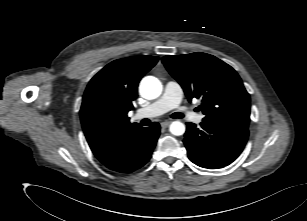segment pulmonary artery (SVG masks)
Instances as JSON below:
<instances>
[{
  "instance_id": "1",
  "label": "pulmonary artery",
  "mask_w": 307,
  "mask_h": 221,
  "mask_svg": "<svg viewBox=\"0 0 307 221\" xmlns=\"http://www.w3.org/2000/svg\"><path fill=\"white\" fill-rule=\"evenodd\" d=\"M183 99V90L180 84L176 81H168L165 84L164 92L162 96L148 107L141 108L136 111L135 117H156L172 109L180 108ZM189 113V117L195 123H201L203 121L202 114Z\"/></svg>"
}]
</instances>
